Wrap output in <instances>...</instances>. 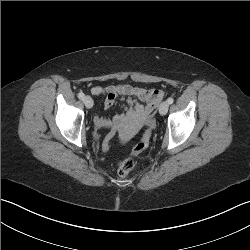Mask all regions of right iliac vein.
Returning a JSON list of instances; mask_svg holds the SVG:
<instances>
[{"label":"right iliac vein","mask_w":250,"mask_h":250,"mask_svg":"<svg viewBox=\"0 0 250 250\" xmlns=\"http://www.w3.org/2000/svg\"><path fill=\"white\" fill-rule=\"evenodd\" d=\"M83 103L87 108H92L93 107V100L90 96H84L82 99Z\"/></svg>","instance_id":"obj_1"}]
</instances>
